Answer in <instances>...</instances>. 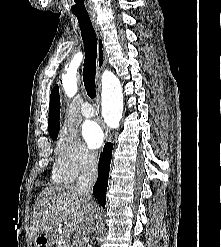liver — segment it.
Instances as JSON below:
<instances>
[{"mask_svg": "<svg viewBox=\"0 0 221 247\" xmlns=\"http://www.w3.org/2000/svg\"><path fill=\"white\" fill-rule=\"evenodd\" d=\"M94 214L97 206L93 203ZM87 208L75 186L45 188L36 200L31 218V236L49 232L64 224L75 237L90 234L86 220Z\"/></svg>", "mask_w": 221, "mask_h": 247, "instance_id": "liver-1", "label": "liver"}]
</instances>
